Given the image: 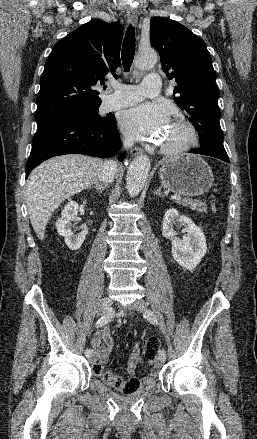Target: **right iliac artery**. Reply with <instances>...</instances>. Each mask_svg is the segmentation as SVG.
Returning <instances> with one entry per match:
<instances>
[{
    "label": "right iliac artery",
    "mask_w": 257,
    "mask_h": 439,
    "mask_svg": "<svg viewBox=\"0 0 257 439\" xmlns=\"http://www.w3.org/2000/svg\"><path fill=\"white\" fill-rule=\"evenodd\" d=\"M111 319H112V314L108 313L97 320V322L95 323V327L96 328L101 327V326L107 324L108 322H110ZM85 355H86V357H91L93 355L92 350L87 348L85 351Z\"/></svg>",
    "instance_id": "obj_1"
}]
</instances>
